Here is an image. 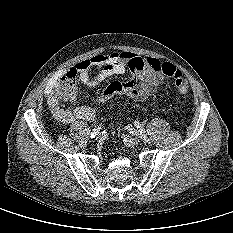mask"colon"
I'll use <instances>...</instances> for the list:
<instances>
[{
	"mask_svg": "<svg viewBox=\"0 0 233 233\" xmlns=\"http://www.w3.org/2000/svg\"><path fill=\"white\" fill-rule=\"evenodd\" d=\"M162 73L175 81L176 89L181 94H186L189 91V84L186 78H184L181 72L170 63H163L160 66ZM58 96L60 101L73 100L76 97V84L74 76H66L62 78L58 85Z\"/></svg>",
	"mask_w": 233,
	"mask_h": 233,
	"instance_id": "obj_1",
	"label": "colon"
}]
</instances>
